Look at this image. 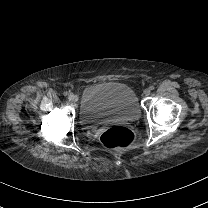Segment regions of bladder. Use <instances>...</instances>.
Returning <instances> with one entry per match:
<instances>
[{
  "mask_svg": "<svg viewBox=\"0 0 208 208\" xmlns=\"http://www.w3.org/2000/svg\"><path fill=\"white\" fill-rule=\"evenodd\" d=\"M83 122L135 121L140 107L131 88L119 83H99L86 87L81 100Z\"/></svg>",
  "mask_w": 208,
  "mask_h": 208,
  "instance_id": "bladder-1",
  "label": "bladder"
}]
</instances>
